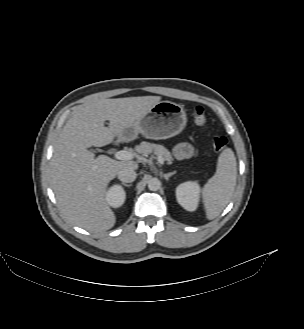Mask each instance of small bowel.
<instances>
[{"label": "small bowel", "instance_id": "small-bowel-1", "mask_svg": "<svg viewBox=\"0 0 304 329\" xmlns=\"http://www.w3.org/2000/svg\"><path fill=\"white\" fill-rule=\"evenodd\" d=\"M193 149L188 144H179L174 148V156L177 159H188L192 156Z\"/></svg>", "mask_w": 304, "mask_h": 329}]
</instances>
